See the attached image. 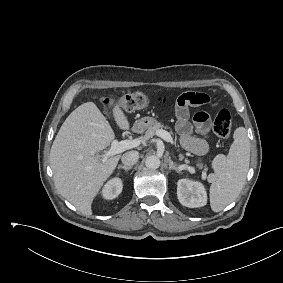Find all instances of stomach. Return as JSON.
<instances>
[{
  "instance_id": "obj_1",
  "label": "stomach",
  "mask_w": 283,
  "mask_h": 283,
  "mask_svg": "<svg viewBox=\"0 0 283 283\" xmlns=\"http://www.w3.org/2000/svg\"><path fill=\"white\" fill-rule=\"evenodd\" d=\"M156 122V119L152 117H143L135 122L133 129L136 132H143L152 127Z\"/></svg>"
}]
</instances>
